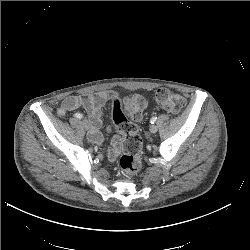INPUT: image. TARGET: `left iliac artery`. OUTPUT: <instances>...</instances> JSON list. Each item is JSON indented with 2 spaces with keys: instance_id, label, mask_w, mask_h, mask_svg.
Masks as SVG:
<instances>
[{
  "instance_id": "obj_1",
  "label": "left iliac artery",
  "mask_w": 250,
  "mask_h": 250,
  "mask_svg": "<svg viewBox=\"0 0 250 250\" xmlns=\"http://www.w3.org/2000/svg\"><path fill=\"white\" fill-rule=\"evenodd\" d=\"M150 121L152 124H154L157 121V117H152Z\"/></svg>"
}]
</instances>
